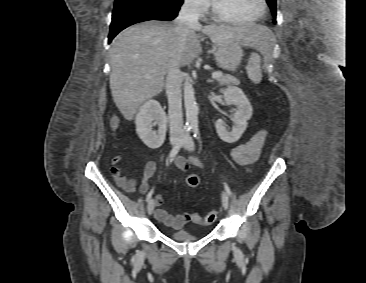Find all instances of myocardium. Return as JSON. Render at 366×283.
<instances>
[{
  "mask_svg": "<svg viewBox=\"0 0 366 283\" xmlns=\"http://www.w3.org/2000/svg\"><path fill=\"white\" fill-rule=\"evenodd\" d=\"M260 5H261V9L260 12L257 16L248 19V20H241V19H237V18H233L230 17L226 14H224L216 5L215 0H212V13L213 16L222 21V22H226V23H231V24H236V25H246V24H252L255 23L257 21H259L260 19H262L266 12H267V3L266 0H259Z\"/></svg>",
  "mask_w": 366,
  "mask_h": 283,
  "instance_id": "f54148a6",
  "label": "myocardium"
}]
</instances>
